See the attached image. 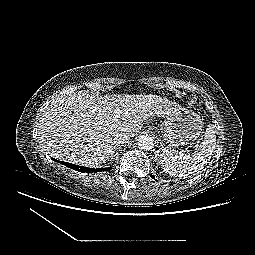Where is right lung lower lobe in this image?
I'll return each instance as SVG.
<instances>
[{
	"mask_svg": "<svg viewBox=\"0 0 255 255\" xmlns=\"http://www.w3.org/2000/svg\"><path fill=\"white\" fill-rule=\"evenodd\" d=\"M55 161L59 162L60 164L65 165L67 167H70L73 170L79 171V172H86V173L94 172V173H96V172H102V171H106V170L110 169V168H96V169H94V168H88V167H84V166H78V165L67 163L64 161H58V160H55Z\"/></svg>",
	"mask_w": 255,
	"mask_h": 255,
	"instance_id": "1",
	"label": "right lung lower lobe"
}]
</instances>
